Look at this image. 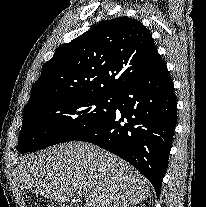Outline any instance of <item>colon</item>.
Segmentation results:
<instances>
[{"label": "colon", "instance_id": "1", "mask_svg": "<svg viewBox=\"0 0 206 207\" xmlns=\"http://www.w3.org/2000/svg\"><path fill=\"white\" fill-rule=\"evenodd\" d=\"M51 207H77V206H74L71 204H55V205H52Z\"/></svg>", "mask_w": 206, "mask_h": 207}]
</instances>
